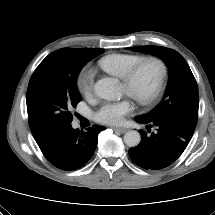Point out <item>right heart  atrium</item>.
I'll return each mask as SVG.
<instances>
[{
	"instance_id": "d8ad5b80",
	"label": "right heart atrium",
	"mask_w": 215,
	"mask_h": 215,
	"mask_svg": "<svg viewBox=\"0 0 215 215\" xmlns=\"http://www.w3.org/2000/svg\"><path fill=\"white\" fill-rule=\"evenodd\" d=\"M77 87L81 95L89 97L93 90V72L90 70L81 72L77 78Z\"/></svg>"
}]
</instances>
